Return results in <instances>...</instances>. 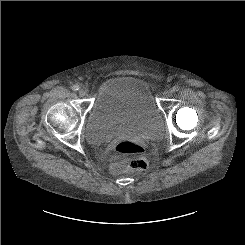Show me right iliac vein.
Here are the masks:
<instances>
[{
  "label": "right iliac vein",
  "mask_w": 245,
  "mask_h": 245,
  "mask_svg": "<svg viewBox=\"0 0 245 245\" xmlns=\"http://www.w3.org/2000/svg\"><path fill=\"white\" fill-rule=\"evenodd\" d=\"M79 96L84 97L87 95V90L85 88H80L78 91Z\"/></svg>",
  "instance_id": "63e3f726"
}]
</instances>
